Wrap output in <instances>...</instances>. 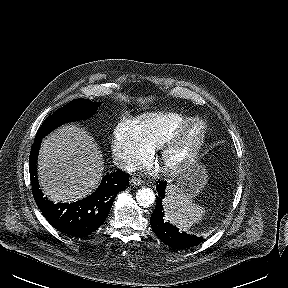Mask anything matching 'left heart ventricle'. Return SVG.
Returning a JSON list of instances; mask_svg holds the SVG:
<instances>
[{
  "label": "left heart ventricle",
  "mask_w": 288,
  "mask_h": 288,
  "mask_svg": "<svg viewBox=\"0 0 288 288\" xmlns=\"http://www.w3.org/2000/svg\"><path fill=\"white\" fill-rule=\"evenodd\" d=\"M200 128L198 126H193L189 129L185 137L181 140V142L176 146L174 151L171 153L170 158L171 160H175L178 158H181L183 155L186 154V152L191 147L194 140L199 135Z\"/></svg>",
  "instance_id": "left-heart-ventricle-1"
}]
</instances>
